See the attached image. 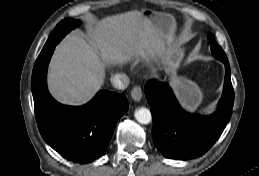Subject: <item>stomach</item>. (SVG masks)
Masks as SVG:
<instances>
[{
    "mask_svg": "<svg viewBox=\"0 0 259 176\" xmlns=\"http://www.w3.org/2000/svg\"><path fill=\"white\" fill-rule=\"evenodd\" d=\"M141 13L148 18L163 38L165 44V62L172 74L173 86L178 97L188 110H195L202 101V93L194 82L176 74V69L179 67L183 58L184 50L171 41L175 26L173 18L168 14L150 9H144Z\"/></svg>",
    "mask_w": 259,
    "mask_h": 176,
    "instance_id": "0dacf381",
    "label": "stomach"
}]
</instances>
